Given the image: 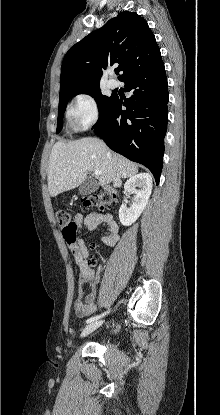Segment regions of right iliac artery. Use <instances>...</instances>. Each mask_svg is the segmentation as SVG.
Here are the masks:
<instances>
[{"mask_svg": "<svg viewBox=\"0 0 220 415\" xmlns=\"http://www.w3.org/2000/svg\"><path fill=\"white\" fill-rule=\"evenodd\" d=\"M106 313H108V311H107V312H104V313H102V314H100V315H96V316H94V317H91V318L87 319L86 323L88 324V323H92V322H94V321H97L98 319H100V318H102L104 315H106Z\"/></svg>", "mask_w": 220, "mask_h": 415, "instance_id": "obj_1", "label": "right iliac artery"}]
</instances>
